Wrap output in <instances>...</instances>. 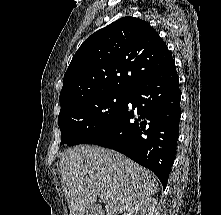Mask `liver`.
Masks as SVG:
<instances>
[{"label":"liver","mask_w":221,"mask_h":215,"mask_svg":"<svg viewBox=\"0 0 221 215\" xmlns=\"http://www.w3.org/2000/svg\"><path fill=\"white\" fill-rule=\"evenodd\" d=\"M59 172L70 215H85L98 196H103L106 215H118L158 190L152 172L123 154L96 146L64 151Z\"/></svg>","instance_id":"liver-1"}]
</instances>
